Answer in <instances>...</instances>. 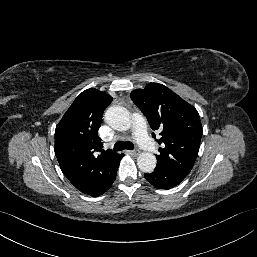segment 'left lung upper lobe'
I'll use <instances>...</instances> for the list:
<instances>
[{
	"instance_id": "left-lung-upper-lobe-1",
	"label": "left lung upper lobe",
	"mask_w": 257,
	"mask_h": 257,
	"mask_svg": "<svg viewBox=\"0 0 257 257\" xmlns=\"http://www.w3.org/2000/svg\"><path fill=\"white\" fill-rule=\"evenodd\" d=\"M131 99L147 117L150 127L160 132L162 145L157 166L186 177L197 158L202 126L197 110L169 88L149 83L131 92ZM155 138V134H152Z\"/></svg>"
}]
</instances>
